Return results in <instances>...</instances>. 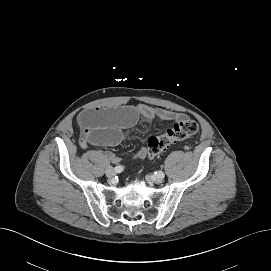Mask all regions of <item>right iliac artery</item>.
<instances>
[{
	"label": "right iliac artery",
	"instance_id": "82829eb1",
	"mask_svg": "<svg viewBox=\"0 0 271 271\" xmlns=\"http://www.w3.org/2000/svg\"><path fill=\"white\" fill-rule=\"evenodd\" d=\"M123 166H121V165H118V166H116L115 168H114V171L116 172V173H120V172H122L123 171Z\"/></svg>",
	"mask_w": 271,
	"mask_h": 271
}]
</instances>
